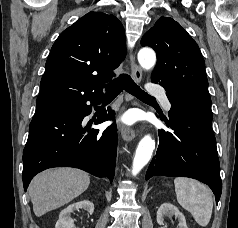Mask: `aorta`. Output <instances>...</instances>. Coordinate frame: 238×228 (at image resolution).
<instances>
[{"label": "aorta", "mask_w": 238, "mask_h": 228, "mask_svg": "<svg viewBox=\"0 0 238 228\" xmlns=\"http://www.w3.org/2000/svg\"><path fill=\"white\" fill-rule=\"evenodd\" d=\"M138 62L143 69L145 70L152 69L156 63V54L154 50L151 48H142L138 52ZM154 148H155V141L149 134L145 135L140 140L133 160V167H132L133 175L136 176L141 171V169L149 162Z\"/></svg>", "instance_id": "762f6f07"}]
</instances>
